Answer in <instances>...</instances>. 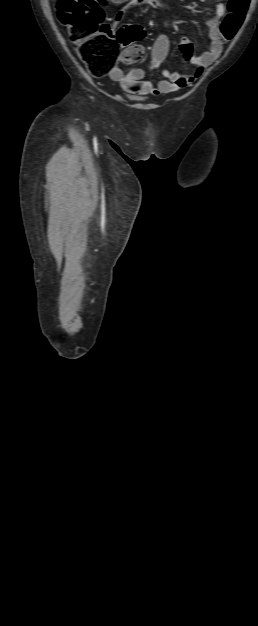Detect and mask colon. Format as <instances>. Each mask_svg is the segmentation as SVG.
I'll return each mask as SVG.
<instances>
[{"mask_svg":"<svg viewBox=\"0 0 258 626\" xmlns=\"http://www.w3.org/2000/svg\"><path fill=\"white\" fill-rule=\"evenodd\" d=\"M125 0H57L56 15L68 28L71 42L89 71L104 75L113 63L122 57L126 62L138 61L144 49L134 41L140 39L144 31L139 25L121 27L116 32V40L110 39L109 27L105 24L103 7L108 4L120 5ZM250 0H228V12L221 22L219 38L222 42L231 40L239 30ZM127 47L121 53V47Z\"/></svg>","mask_w":258,"mask_h":626,"instance_id":"5ec220e1","label":"colon"}]
</instances>
